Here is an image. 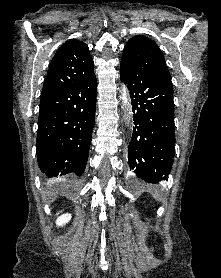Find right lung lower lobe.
Returning a JSON list of instances; mask_svg holds the SVG:
<instances>
[{
	"label": "right lung lower lobe",
	"mask_w": 221,
	"mask_h": 278,
	"mask_svg": "<svg viewBox=\"0 0 221 278\" xmlns=\"http://www.w3.org/2000/svg\"><path fill=\"white\" fill-rule=\"evenodd\" d=\"M96 77L41 94L37 159L51 181H70L85 170L96 109Z\"/></svg>",
	"instance_id": "obj_1"
}]
</instances>
